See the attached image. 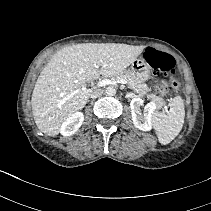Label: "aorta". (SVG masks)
Listing matches in <instances>:
<instances>
[{
  "label": "aorta",
  "instance_id": "obj_1",
  "mask_svg": "<svg viewBox=\"0 0 211 211\" xmlns=\"http://www.w3.org/2000/svg\"><path fill=\"white\" fill-rule=\"evenodd\" d=\"M106 94L108 96H114L116 94V89L114 87H107Z\"/></svg>",
  "mask_w": 211,
  "mask_h": 211
}]
</instances>
